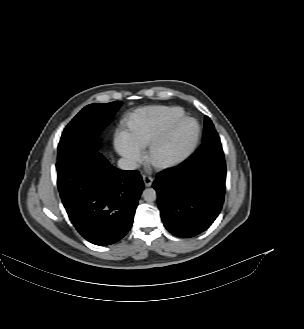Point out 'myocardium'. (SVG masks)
I'll use <instances>...</instances> for the list:
<instances>
[{
    "instance_id": "myocardium-1",
    "label": "myocardium",
    "mask_w": 304,
    "mask_h": 329,
    "mask_svg": "<svg viewBox=\"0 0 304 329\" xmlns=\"http://www.w3.org/2000/svg\"><path fill=\"white\" fill-rule=\"evenodd\" d=\"M186 121H193L196 125V132L192 141L188 144V146L178 155L166 158V159H159L157 157L158 152L160 149L167 144L175 135L176 130L178 127L186 122ZM201 138V126L197 119L190 116H183L176 121H174L169 128L163 133L160 137L155 139L149 146L146 152V159L147 162L157 170H168L175 168L182 163H184L196 150L199 141Z\"/></svg>"
}]
</instances>
